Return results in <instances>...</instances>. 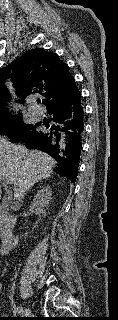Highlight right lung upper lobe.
I'll return each instance as SVG.
<instances>
[{"instance_id": "right-lung-upper-lobe-1", "label": "right lung upper lobe", "mask_w": 118, "mask_h": 320, "mask_svg": "<svg viewBox=\"0 0 118 320\" xmlns=\"http://www.w3.org/2000/svg\"><path fill=\"white\" fill-rule=\"evenodd\" d=\"M11 68L14 72L9 75ZM7 77H12L16 84V94L22 98L20 102L29 95L40 94L46 97L42 103L47 105L77 89L68 65L57 54L41 48L29 50L9 67L0 70V118L10 116L4 105L10 94L2 84Z\"/></svg>"}]
</instances>
